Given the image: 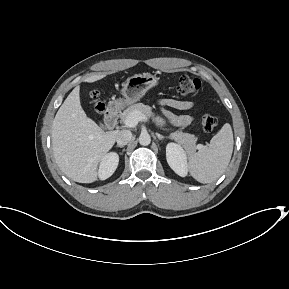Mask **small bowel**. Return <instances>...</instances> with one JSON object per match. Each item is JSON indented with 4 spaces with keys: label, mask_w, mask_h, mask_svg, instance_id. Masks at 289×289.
<instances>
[{
    "label": "small bowel",
    "mask_w": 289,
    "mask_h": 289,
    "mask_svg": "<svg viewBox=\"0 0 289 289\" xmlns=\"http://www.w3.org/2000/svg\"><path fill=\"white\" fill-rule=\"evenodd\" d=\"M162 114L172 124L176 126H186L191 122V117L188 115H175L167 108H173L177 110H190L194 108V103L191 101H182L176 99H164L160 102Z\"/></svg>",
    "instance_id": "1"
}]
</instances>
